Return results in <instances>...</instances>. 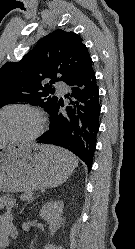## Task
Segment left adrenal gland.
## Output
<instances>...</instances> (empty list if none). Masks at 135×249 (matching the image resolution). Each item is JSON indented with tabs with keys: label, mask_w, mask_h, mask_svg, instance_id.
<instances>
[{
	"label": "left adrenal gland",
	"mask_w": 135,
	"mask_h": 249,
	"mask_svg": "<svg viewBox=\"0 0 135 249\" xmlns=\"http://www.w3.org/2000/svg\"><path fill=\"white\" fill-rule=\"evenodd\" d=\"M33 200H34V198H32L30 201H28V203H26V204L24 205V207H23V208L21 209V211H20V214L23 212L25 206H26L27 204H29L30 202H32Z\"/></svg>",
	"instance_id": "obj_1"
}]
</instances>
